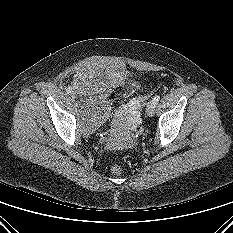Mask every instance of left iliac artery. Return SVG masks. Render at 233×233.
I'll return each mask as SVG.
<instances>
[{
  "instance_id": "left-iliac-artery-1",
  "label": "left iliac artery",
  "mask_w": 233,
  "mask_h": 233,
  "mask_svg": "<svg viewBox=\"0 0 233 233\" xmlns=\"http://www.w3.org/2000/svg\"><path fill=\"white\" fill-rule=\"evenodd\" d=\"M160 100V95H156L153 97L152 102L156 106Z\"/></svg>"
}]
</instances>
